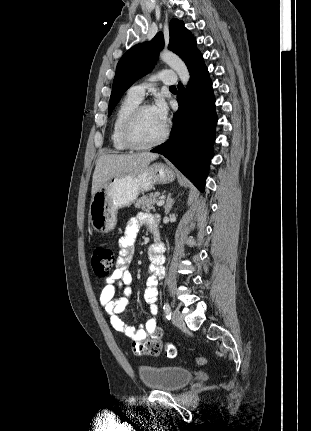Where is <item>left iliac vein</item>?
<instances>
[{"mask_svg":"<svg viewBox=\"0 0 311 431\" xmlns=\"http://www.w3.org/2000/svg\"><path fill=\"white\" fill-rule=\"evenodd\" d=\"M172 323L180 329H183L185 327V323L183 321V318H182L179 310H177V309H175L172 312Z\"/></svg>","mask_w":311,"mask_h":431,"instance_id":"left-iliac-vein-1","label":"left iliac vein"}]
</instances>
